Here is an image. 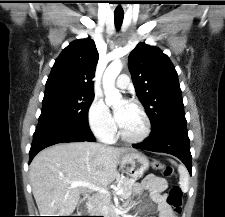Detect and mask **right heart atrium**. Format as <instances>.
<instances>
[{
    "label": "right heart atrium",
    "mask_w": 225,
    "mask_h": 217,
    "mask_svg": "<svg viewBox=\"0 0 225 217\" xmlns=\"http://www.w3.org/2000/svg\"><path fill=\"white\" fill-rule=\"evenodd\" d=\"M88 123L92 132L102 138L111 139L115 132L112 115L105 103L95 97L88 109Z\"/></svg>",
    "instance_id": "1"
}]
</instances>
